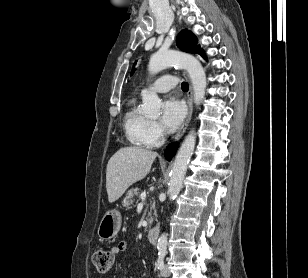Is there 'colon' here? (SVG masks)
Returning <instances> with one entry per match:
<instances>
[{
  "label": "colon",
  "instance_id": "obj_1",
  "mask_svg": "<svg viewBox=\"0 0 308 278\" xmlns=\"http://www.w3.org/2000/svg\"><path fill=\"white\" fill-rule=\"evenodd\" d=\"M93 264L99 273L108 274L115 264V255L111 250H97L93 254Z\"/></svg>",
  "mask_w": 308,
  "mask_h": 278
}]
</instances>
